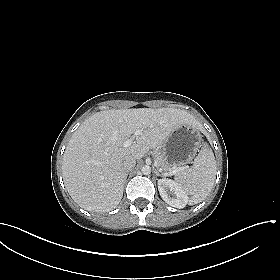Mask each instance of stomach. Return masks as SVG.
<instances>
[{
	"label": "stomach",
	"instance_id": "stomach-1",
	"mask_svg": "<svg viewBox=\"0 0 280 280\" xmlns=\"http://www.w3.org/2000/svg\"><path fill=\"white\" fill-rule=\"evenodd\" d=\"M202 135L198 128L185 123L176 128L161 145V152L171 167L190 163L200 147Z\"/></svg>",
	"mask_w": 280,
	"mask_h": 280
}]
</instances>
